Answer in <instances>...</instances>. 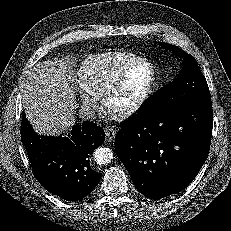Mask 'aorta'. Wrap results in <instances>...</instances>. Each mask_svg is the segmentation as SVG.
<instances>
[{
    "label": "aorta",
    "instance_id": "1",
    "mask_svg": "<svg viewBox=\"0 0 231 231\" xmlns=\"http://www.w3.org/2000/svg\"><path fill=\"white\" fill-rule=\"evenodd\" d=\"M94 160L98 164H108L113 159V152L107 147H100L94 151Z\"/></svg>",
    "mask_w": 231,
    "mask_h": 231
}]
</instances>
